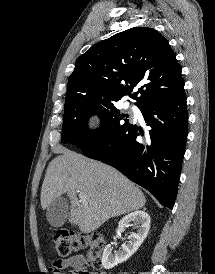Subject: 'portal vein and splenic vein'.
Masks as SVG:
<instances>
[{
    "label": "portal vein and splenic vein",
    "instance_id": "portal-vein-and-splenic-vein-1",
    "mask_svg": "<svg viewBox=\"0 0 215 274\" xmlns=\"http://www.w3.org/2000/svg\"><path fill=\"white\" fill-rule=\"evenodd\" d=\"M79 193V198H80V201H85L86 200V194L83 193V192H78Z\"/></svg>",
    "mask_w": 215,
    "mask_h": 274
}]
</instances>
